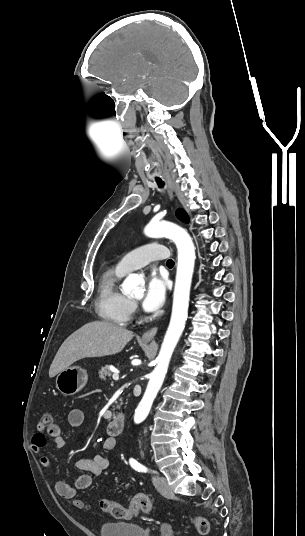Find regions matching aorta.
I'll return each mask as SVG.
<instances>
[{
    "label": "aorta",
    "mask_w": 305,
    "mask_h": 536,
    "mask_svg": "<svg viewBox=\"0 0 305 536\" xmlns=\"http://www.w3.org/2000/svg\"><path fill=\"white\" fill-rule=\"evenodd\" d=\"M146 236L151 238L167 237L178 250V264L173 294V306L170 324L166 331L156 367L149 377L147 388L134 414V422L141 423L148 416L168 370L173 351L184 330L189 307L190 288L195 264V247L190 235L182 227L171 222H151L145 229ZM144 281L136 274H130L122 284L126 294L141 296Z\"/></svg>",
    "instance_id": "762f6f07"
}]
</instances>
